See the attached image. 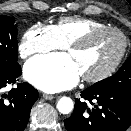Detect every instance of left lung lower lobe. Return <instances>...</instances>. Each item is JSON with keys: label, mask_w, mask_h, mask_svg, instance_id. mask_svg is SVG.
Wrapping results in <instances>:
<instances>
[{"label": "left lung lower lobe", "mask_w": 131, "mask_h": 131, "mask_svg": "<svg viewBox=\"0 0 131 131\" xmlns=\"http://www.w3.org/2000/svg\"><path fill=\"white\" fill-rule=\"evenodd\" d=\"M75 100L72 115L64 120L67 131H126L131 125V93L89 87Z\"/></svg>", "instance_id": "left-lung-lower-lobe-1"}]
</instances>
